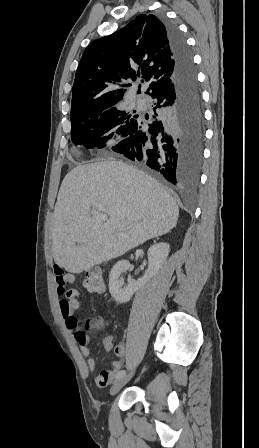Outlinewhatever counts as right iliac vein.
<instances>
[{
	"label": "right iliac vein",
	"instance_id": "63e3f726",
	"mask_svg": "<svg viewBox=\"0 0 259 448\" xmlns=\"http://www.w3.org/2000/svg\"><path fill=\"white\" fill-rule=\"evenodd\" d=\"M134 372H131L127 376H123L122 378L116 380L110 389V394L115 395L118 393L122 387L132 378Z\"/></svg>",
	"mask_w": 259,
	"mask_h": 448
}]
</instances>
